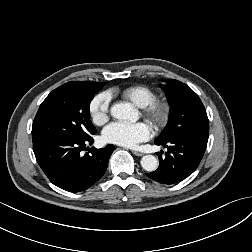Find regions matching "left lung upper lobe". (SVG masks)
I'll use <instances>...</instances> for the list:
<instances>
[{"instance_id":"left-lung-upper-lobe-1","label":"left lung upper lobe","mask_w":252,"mask_h":252,"mask_svg":"<svg viewBox=\"0 0 252 252\" xmlns=\"http://www.w3.org/2000/svg\"><path fill=\"white\" fill-rule=\"evenodd\" d=\"M163 89L171 105L170 120L156 141L166 142L189 133L209 135L208 117L198 95L175 79L168 80Z\"/></svg>"}]
</instances>
